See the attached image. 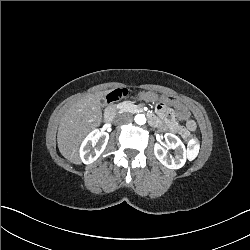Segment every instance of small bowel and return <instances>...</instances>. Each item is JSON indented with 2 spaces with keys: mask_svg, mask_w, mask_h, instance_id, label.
Wrapping results in <instances>:
<instances>
[{
  "mask_svg": "<svg viewBox=\"0 0 250 250\" xmlns=\"http://www.w3.org/2000/svg\"><path fill=\"white\" fill-rule=\"evenodd\" d=\"M162 110L168 111V113L170 112L169 108L162 107ZM175 115L178 119L183 120V121H187L188 127L190 124H192L194 126V129H195V123L192 120H190V113L187 109L178 108L177 111L175 112ZM149 119H150V121L155 122V123L169 125L170 127H173L175 130L179 129V126L175 122H173L167 118H164V114H162L161 117H158L157 115H150Z\"/></svg>",
  "mask_w": 250,
  "mask_h": 250,
  "instance_id": "small-bowel-1",
  "label": "small bowel"
}]
</instances>
